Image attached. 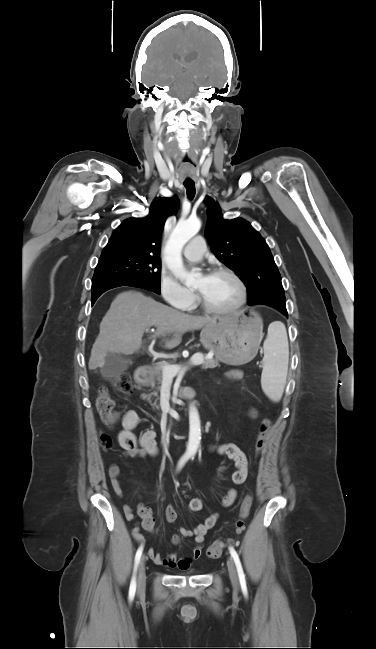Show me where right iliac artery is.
Masks as SVG:
<instances>
[{
	"label": "right iliac artery",
	"instance_id": "1",
	"mask_svg": "<svg viewBox=\"0 0 376 649\" xmlns=\"http://www.w3.org/2000/svg\"><path fill=\"white\" fill-rule=\"evenodd\" d=\"M187 460H188V456H183L180 459L179 463H178V469L182 468ZM142 551H143V546H140L138 548L137 552H136V555H135L134 572H133V577H132L130 588H129L130 597H133L135 595V592H136V572H137L138 564H139V561H140V558H141V555H142Z\"/></svg>",
	"mask_w": 376,
	"mask_h": 649
}]
</instances>
